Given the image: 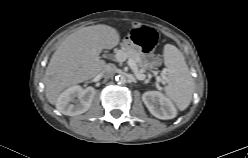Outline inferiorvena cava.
Instances as JSON below:
<instances>
[{
	"instance_id": "602c4592",
	"label": "inferior vena cava",
	"mask_w": 248,
	"mask_h": 158,
	"mask_svg": "<svg viewBox=\"0 0 248 158\" xmlns=\"http://www.w3.org/2000/svg\"><path fill=\"white\" fill-rule=\"evenodd\" d=\"M116 72V66L114 64H106L104 69L102 70L101 72V75L104 77V78H111L114 76Z\"/></svg>"
}]
</instances>
